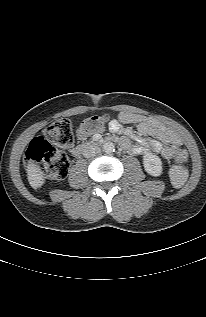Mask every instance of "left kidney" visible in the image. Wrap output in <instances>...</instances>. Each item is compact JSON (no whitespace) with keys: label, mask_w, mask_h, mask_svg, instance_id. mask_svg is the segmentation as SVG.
Segmentation results:
<instances>
[{"label":"left kidney","mask_w":206,"mask_h":317,"mask_svg":"<svg viewBox=\"0 0 206 317\" xmlns=\"http://www.w3.org/2000/svg\"><path fill=\"white\" fill-rule=\"evenodd\" d=\"M143 165L145 171L152 176L157 177L162 174V161L153 153H146L143 156Z\"/></svg>","instance_id":"left-kidney-1"}]
</instances>
